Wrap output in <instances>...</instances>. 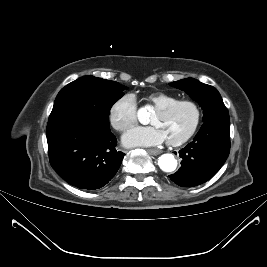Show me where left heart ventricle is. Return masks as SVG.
<instances>
[{
    "label": "left heart ventricle",
    "mask_w": 267,
    "mask_h": 267,
    "mask_svg": "<svg viewBox=\"0 0 267 267\" xmlns=\"http://www.w3.org/2000/svg\"><path fill=\"white\" fill-rule=\"evenodd\" d=\"M194 118L193 108L190 105H181L167 114L155 112L151 123L163 131L167 140H175L187 133Z\"/></svg>",
    "instance_id": "obj_1"
}]
</instances>
